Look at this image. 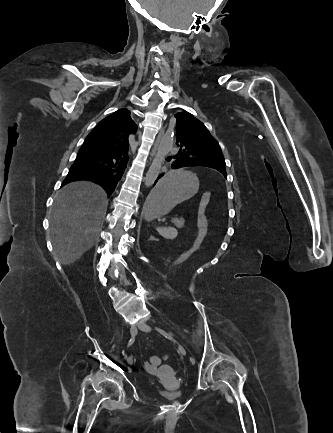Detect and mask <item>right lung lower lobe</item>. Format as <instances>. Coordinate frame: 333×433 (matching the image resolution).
<instances>
[{
	"label": "right lung lower lobe",
	"instance_id": "right-lung-lower-lobe-1",
	"mask_svg": "<svg viewBox=\"0 0 333 433\" xmlns=\"http://www.w3.org/2000/svg\"><path fill=\"white\" fill-rule=\"evenodd\" d=\"M92 143L93 140H89V137L85 139L83 150L78 152L62 185L77 180H89L105 188L110 196L127 166L128 149L101 153L95 150Z\"/></svg>",
	"mask_w": 333,
	"mask_h": 433
}]
</instances>
